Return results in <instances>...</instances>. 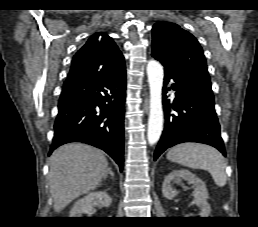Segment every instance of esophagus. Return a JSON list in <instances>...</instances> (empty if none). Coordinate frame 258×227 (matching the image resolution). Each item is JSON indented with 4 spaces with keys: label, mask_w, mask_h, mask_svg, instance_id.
Here are the masks:
<instances>
[{
    "label": "esophagus",
    "mask_w": 258,
    "mask_h": 227,
    "mask_svg": "<svg viewBox=\"0 0 258 227\" xmlns=\"http://www.w3.org/2000/svg\"><path fill=\"white\" fill-rule=\"evenodd\" d=\"M143 108H144L145 112L147 113L148 109H149V102H148V98L147 97L144 100Z\"/></svg>",
    "instance_id": "esophagus-1"
}]
</instances>
